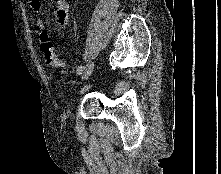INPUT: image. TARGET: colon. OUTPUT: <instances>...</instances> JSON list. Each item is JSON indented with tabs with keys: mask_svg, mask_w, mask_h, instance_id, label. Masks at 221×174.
I'll return each mask as SVG.
<instances>
[{
	"mask_svg": "<svg viewBox=\"0 0 221 174\" xmlns=\"http://www.w3.org/2000/svg\"><path fill=\"white\" fill-rule=\"evenodd\" d=\"M39 37L40 49L45 57L46 62L52 67L64 69L65 62L55 51L54 45L52 43V33L49 30L44 29L41 30Z\"/></svg>",
	"mask_w": 221,
	"mask_h": 174,
	"instance_id": "colon-1",
	"label": "colon"
}]
</instances>
